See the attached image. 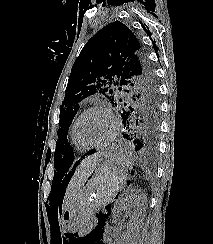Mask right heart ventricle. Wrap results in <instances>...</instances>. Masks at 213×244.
<instances>
[{
  "label": "right heart ventricle",
  "instance_id": "e07e8e85",
  "mask_svg": "<svg viewBox=\"0 0 213 244\" xmlns=\"http://www.w3.org/2000/svg\"><path fill=\"white\" fill-rule=\"evenodd\" d=\"M74 124V123H73ZM70 140H71V143L73 145V147L78 150V151H83L85 150L75 139L74 135H73V125L71 126V129H70Z\"/></svg>",
  "mask_w": 213,
  "mask_h": 244
}]
</instances>
